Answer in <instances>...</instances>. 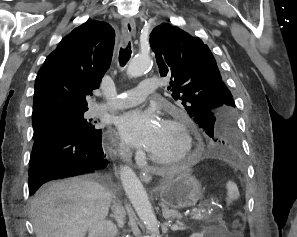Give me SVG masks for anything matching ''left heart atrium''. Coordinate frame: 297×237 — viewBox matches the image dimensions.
I'll list each match as a JSON object with an SVG mask.
<instances>
[{
    "label": "left heart atrium",
    "instance_id": "left-heart-atrium-1",
    "mask_svg": "<svg viewBox=\"0 0 297 237\" xmlns=\"http://www.w3.org/2000/svg\"><path fill=\"white\" fill-rule=\"evenodd\" d=\"M120 136L134 147L150 150L159 134L162 122L152 110L135 109L117 117Z\"/></svg>",
    "mask_w": 297,
    "mask_h": 237
}]
</instances>
